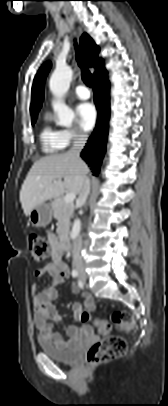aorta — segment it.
<instances>
[{
	"instance_id": "obj_1",
	"label": "aorta",
	"mask_w": 168,
	"mask_h": 406,
	"mask_svg": "<svg viewBox=\"0 0 168 406\" xmlns=\"http://www.w3.org/2000/svg\"><path fill=\"white\" fill-rule=\"evenodd\" d=\"M73 72L67 65H58L52 73L49 81V87L55 97L52 106L57 114V123L61 126L70 127L75 114L64 102L61 101L63 95L68 91L72 80ZM81 230V222L76 219L71 230V238L76 239Z\"/></svg>"
}]
</instances>
